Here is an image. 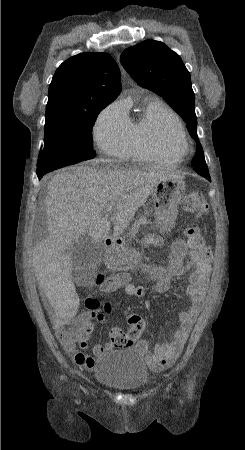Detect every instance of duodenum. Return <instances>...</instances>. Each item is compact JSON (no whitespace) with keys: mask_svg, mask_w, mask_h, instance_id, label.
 <instances>
[{"mask_svg":"<svg viewBox=\"0 0 245 450\" xmlns=\"http://www.w3.org/2000/svg\"><path fill=\"white\" fill-rule=\"evenodd\" d=\"M107 245L110 247L112 252H115L118 250L121 239L119 237H110L106 239ZM109 260H115L112 256L109 257Z\"/></svg>","mask_w":245,"mask_h":450,"instance_id":"410a0bca","label":"duodenum"}]
</instances>
